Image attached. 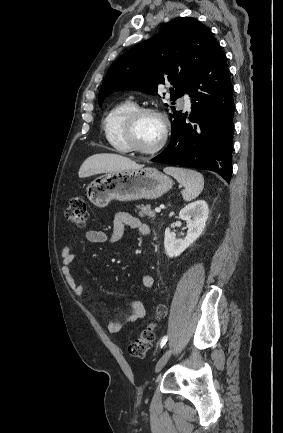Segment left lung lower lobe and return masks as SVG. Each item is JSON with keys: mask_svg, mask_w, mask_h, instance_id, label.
I'll use <instances>...</instances> for the list:
<instances>
[{"mask_svg": "<svg viewBox=\"0 0 283 433\" xmlns=\"http://www.w3.org/2000/svg\"><path fill=\"white\" fill-rule=\"evenodd\" d=\"M192 112L172 122L171 140L153 162L211 170L228 183L232 174L233 86L218 43L209 50L186 91ZM189 119L191 123H187Z\"/></svg>", "mask_w": 283, "mask_h": 433, "instance_id": "0a47b994", "label": "left lung lower lobe"}]
</instances>
